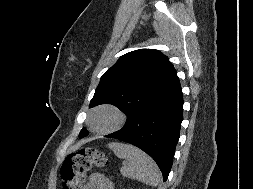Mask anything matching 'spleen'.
Returning <instances> with one entry per match:
<instances>
[{"label":"spleen","instance_id":"3e777b00","mask_svg":"<svg viewBox=\"0 0 253 189\" xmlns=\"http://www.w3.org/2000/svg\"><path fill=\"white\" fill-rule=\"evenodd\" d=\"M108 147L121 159L127 160L120 172L123 176L139 180L151 186H157L161 180V173L154 162L139 148L119 142H111Z\"/></svg>","mask_w":253,"mask_h":189}]
</instances>
